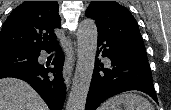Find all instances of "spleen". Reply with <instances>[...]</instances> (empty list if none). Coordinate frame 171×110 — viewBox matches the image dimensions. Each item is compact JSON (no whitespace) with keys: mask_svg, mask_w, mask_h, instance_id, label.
<instances>
[{"mask_svg":"<svg viewBox=\"0 0 171 110\" xmlns=\"http://www.w3.org/2000/svg\"><path fill=\"white\" fill-rule=\"evenodd\" d=\"M154 110L153 105L143 96L128 92L123 93L104 102L99 110Z\"/></svg>","mask_w":171,"mask_h":110,"instance_id":"1","label":"spleen"}]
</instances>
